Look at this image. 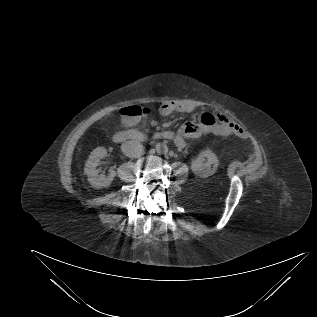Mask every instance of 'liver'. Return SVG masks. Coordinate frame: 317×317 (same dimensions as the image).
Returning <instances> with one entry per match:
<instances>
[{"instance_id":"1","label":"liver","mask_w":317,"mask_h":317,"mask_svg":"<svg viewBox=\"0 0 317 317\" xmlns=\"http://www.w3.org/2000/svg\"><path fill=\"white\" fill-rule=\"evenodd\" d=\"M111 111H112V107L105 108V109L101 110L100 112H98L95 115V117H96V119H101L105 115H110Z\"/></svg>"}]
</instances>
